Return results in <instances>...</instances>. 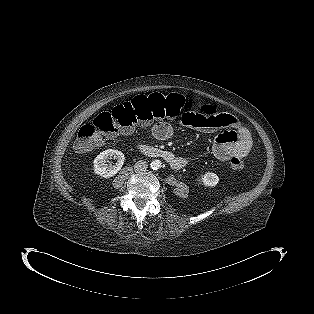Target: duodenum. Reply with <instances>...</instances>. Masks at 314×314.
<instances>
[{
    "label": "duodenum",
    "instance_id": "obj_1",
    "mask_svg": "<svg viewBox=\"0 0 314 314\" xmlns=\"http://www.w3.org/2000/svg\"><path fill=\"white\" fill-rule=\"evenodd\" d=\"M136 148L147 156L164 159L172 167L180 164V160L171 151L156 148L145 143L136 144Z\"/></svg>",
    "mask_w": 314,
    "mask_h": 314
}]
</instances>
